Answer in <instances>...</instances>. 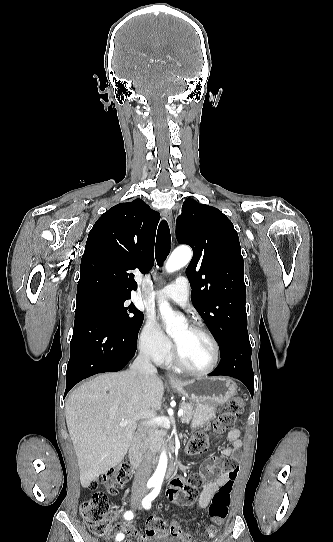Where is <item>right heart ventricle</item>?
I'll return each instance as SVG.
<instances>
[{
  "label": "right heart ventricle",
  "mask_w": 333,
  "mask_h": 542,
  "mask_svg": "<svg viewBox=\"0 0 333 542\" xmlns=\"http://www.w3.org/2000/svg\"><path fill=\"white\" fill-rule=\"evenodd\" d=\"M157 361L161 364H164V365H167L170 363V358L167 354L161 356V357H158L157 358Z\"/></svg>",
  "instance_id": "obj_1"
}]
</instances>
